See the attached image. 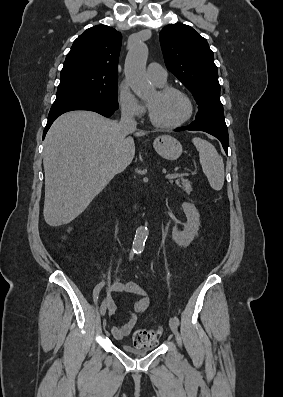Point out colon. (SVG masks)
I'll return each instance as SVG.
<instances>
[{"label": "colon", "instance_id": "colon-1", "mask_svg": "<svg viewBox=\"0 0 283 397\" xmlns=\"http://www.w3.org/2000/svg\"><path fill=\"white\" fill-rule=\"evenodd\" d=\"M158 332L152 329H139L133 335L136 347H148L156 342Z\"/></svg>", "mask_w": 283, "mask_h": 397}]
</instances>
